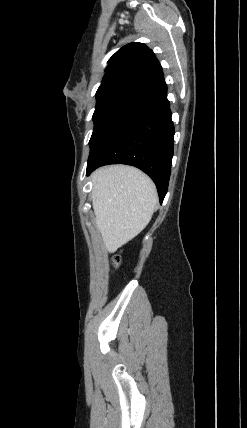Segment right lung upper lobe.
I'll list each match as a JSON object with an SVG mask.
<instances>
[{
  "mask_svg": "<svg viewBox=\"0 0 247 428\" xmlns=\"http://www.w3.org/2000/svg\"><path fill=\"white\" fill-rule=\"evenodd\" d=\"M162 78V67L153 51L143 43H130L110 58L96 94L116 89L141 93Z\"/></svg>",
  "mask_w": 247,
  "mask_h": 428,
  "instance_id": "right-lung-upper-lobe-1",
  "label": "right lung upper lobe"
}]
</instances>
